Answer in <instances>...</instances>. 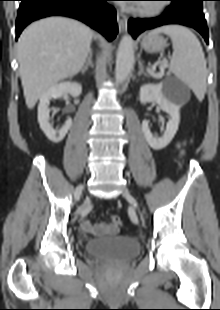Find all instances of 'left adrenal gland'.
I'll return each instance as SVG.
<instances>
[{
  "label": "left adrenal gland",
  "mask_w": 220,
  "mask_h": 310,
  "mask_svg": "<svg viewBox=\"0 0 220 310\" xmlns=\"http://www.w3.org/2000/svg\"><path fill=\"white\" fill-rule=\"evenodd\" d=\"M137 75H138V76H140V75L148 76V74L144 71V68H143L142 63H139V72H138Z\"/></svg>",
  "instance_id": "obj_1"
}]
</instances>
